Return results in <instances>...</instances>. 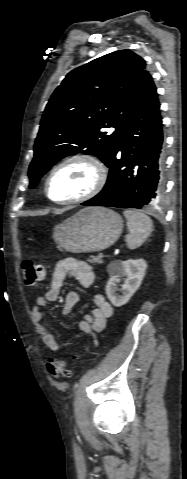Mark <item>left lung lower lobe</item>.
Here are the masks:
<instances>
[{
  "label": "left lung lower lobe",
  "instance_id": "left-lung-lower-lobe-1",
  "mask_svg": "<svg viewBox=\"0 0 187 479\" xmlns=\"http://www.w3.org/2000/svg\"><path fill=\"white\" fill-rule=\"evenodd\" d=\"M107 183L86 206L142 208L163 194L164 137L158 94L147 75L120 133Z\"/></svg>",
  "mask_w": 187,
  "mask_h": 479
}]
</instances>
